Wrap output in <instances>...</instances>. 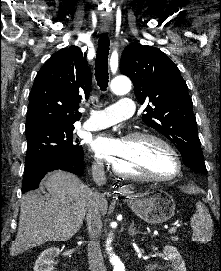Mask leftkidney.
Instances as JSON below:
<instances>
[{
  "label": "left kidney",
  "mask_w": 221,
  "mask_h": 271,
  "mask_svg": "<svg viewBox=\"0 0 221 271\" xmlns=\"http://www.w3.org/2000/svg\"><path fill=\"white\" fill-rule=\"evenodd\" d=\"M163 253L164 257L171 261L172 269H170V271H186L185 261L177 247H174V245H165V247H163Z\"/></svg>",
  "instance_id": "left-kidney-1"
}]
</instances>
